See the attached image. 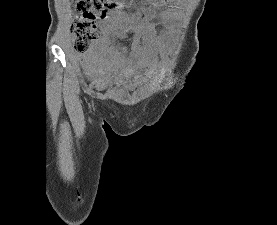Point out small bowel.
<instances>
[{"label": "small bowel", "mask_w": 277, "mask_h": 225, "mask_svg": "<svg viewBox=\"0 0 277 225\" xmlns=\"http://www.w3.org/2000/svg\"><path fill=\"white\" fill-rule=\"evenodd\" d=\"M162 1L158 7L161 10L146 9L140 19V24L129 19L120 8L113 9L106 17L101 18L102 40L98 51L79 58L87 78L99 89L116 81L121 85V79L116 78L117 70L123 74L134 72L144 61L154 60L163 53L171 38L174 22L178 18V6ZM158 25L163 28L158 32ZM131 33L134 46L127 49L116 43L117 36ZM144 46L139 47L140 40Z\"/></svg>", "instance_id": "obj_1"}]
</instances>
